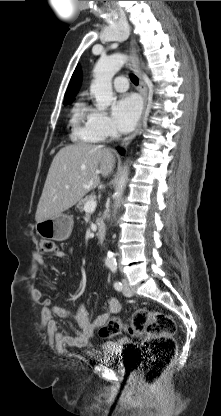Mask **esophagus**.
I'll list each match as a JSON object with an SVG mask.
<instances>
[{
	"label": "esophagus",
	"mask_w": 221,
	"mask_h": 416,
	"mask_svg": "<svg viewBox=\"0 0 221 416\" xmlns=\"http://www.w3.org/2000/svg\"><path fill=\"white\" fill-rule=\"evenodd\" d=\"M130 52H131V56H132V69L135 72V74L137 75L138 79H139V88H140V92L142 94L143 100H144V111L142 114V118L139 121L135 131L130 134L129 136L125 137L122 142H121V147H126L135 137L136 135L139 133V131L142 128L144 119L147 115V102H148V91H147V87L145 85V82L143 80V76L142 73L140 71L139 68V62H138V56H137V48H136V43L134 40H131V46H130Z\"/></svg>",
	"instance_id": "1"
}]
</instances>
